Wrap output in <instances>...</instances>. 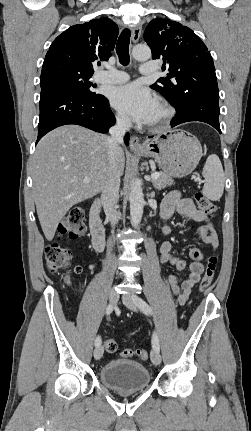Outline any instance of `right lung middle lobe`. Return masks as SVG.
<instances>
[{
  "mask_svg": "<svg viewBox=\"0 0 251 431\" xmlns=\"http://www.w3.org/2000/svg\"><path fill=\"white\" fill-rule=\"evenodd\" d=\"M93 75L80 67L68 62H54L42 68L40 86H65L84 95H100L93 91L89 81Z\"/></svg>",
  "mask_w": 251,
  "mask_h": 431,
  "instance_id": "obj_1",
  "label": "right lung middle lobe"
}]
</instances>
